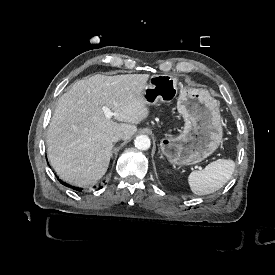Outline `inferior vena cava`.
Listing matches in <instances>:
<instances>
[{"label": "inferior vena cava", "instance_id": "602c4592", "mask_svg": "<svg viewBox=\"0 0 275 275\" xmlns=\"http://www.w3.org/2000/svg\"><path fill=\"white\" fill-rule=\"evenodd\" d=\"M124 133L121 131H116L112 134L111 140L112 142H118L119 140L123 139Z\"/></svg>", "mask_w": 275, "mask_h": 275}]
</instances>
